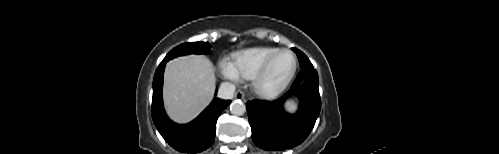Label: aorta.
I'll return each mask as SVG.
<instances>
[{
    "mask_svg": "<svg viewBox=\"0 0 499 154\" xmlns=\"http://www.w3.org/2000/svg\"><path fill=\"white\" fill-rule=\"evenodd\" d=\"M246 111V106L241 100H235L230 104V112L233 115L239 116L244 114Z\"/></svg>",
    "mask_w": 499,
    "mask_h": 154,
    "instance_id": "1",
    "label": "aorta"
}]
</instances>
